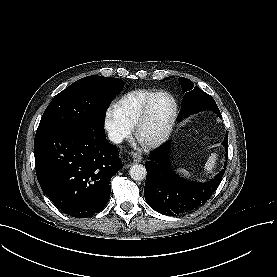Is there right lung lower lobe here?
<instances>
[{"label": "right lung lower lobe", "instance_id": "obj_1", "mask_svg": "<svg viewBox=\"0 0 277 277\" xmlns=\"http://www.w3.org/2000/svg\"><path fill=\"white\" fill-rule=\"evenodd\" d=\"M35 169L43 192L66 214L88 218L107 204L110 179L121 168L103 127L38 132Z\"/></svg>", "mask_w": 277, "mask_h": 277}]
</instances>
